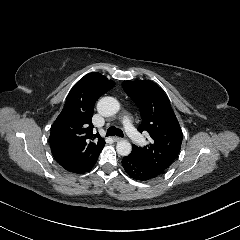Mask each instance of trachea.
I'll use <instances>...</instances> for the list:
<instances>
[{
	"instance_id": "obj_1",
	"label": "trachea",
	"mask_w": 240,
	"mask_h": 240,
	"mask_svg": "<svg viewBox=\"0 0 240 240\" xmlns=\"http://www.w3.org/2000/svg\"><path fill=\"white\" fill-rule=\"evenodd\" d=\"M115 135L118 137H124V133L121 129L116 128L115 126H111L110 128H108L106 136L109 137Z\"/></svg>"
}]
</instances>
